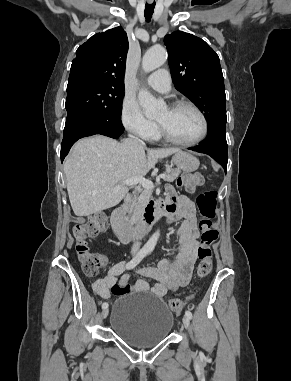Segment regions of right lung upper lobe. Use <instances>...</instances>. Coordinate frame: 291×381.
<instances>
[{
  "label": "right lung upper lobe",
  "instance_id": "right-lung-upper-lobe-1",
  "mask_svg": "<svg viewBox=\"0 0 291 381\" xmlns=\"http://www.w3.org/2000/svg\"><path fill=\"white\" fill-rule=\"evenodd\" d=\"M128 46L122 27L93 35L77 49L68 83L89 81L124 87Z\"/></svg>",
  "mask_w": 291,
  "mask_h": 381
}]
</instances>
